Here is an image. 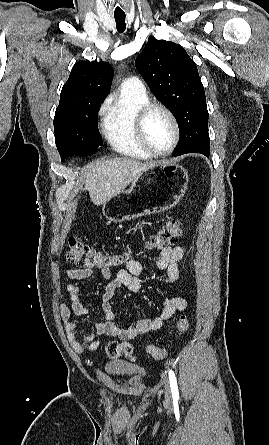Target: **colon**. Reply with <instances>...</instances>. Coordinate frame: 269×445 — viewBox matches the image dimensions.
Instances as JSON below:
<instances>
[{
	"label": "colon",
	"instance_id": "obj_1",
	"mask_svg": "<svg viewBox=\"0 0 269 445\" xmlns=\"http://www.w3.org/2000/svg\"><path fill=\"white\" fill-rule=\"evenodd\" d=\"M182 220H169L153 233L145 242L148 250H159L176 243L182 235ZM67 260L82 269L111 270L124 265L129 259L125 255H113L97 250L83 243L75 236H70L67 242ZM176 328L180 333H185L190 328V322L185 316H181L177 321ZM110 358L116 359L122 355L131 360L134 358L133 349L128 343L111 341L106 348ZM147 353L154 359L165 357V351L155 345L147 347Z\"/></svg>",
	"mask_w": 269,
	"mask_h": 445
}]
</instances>
